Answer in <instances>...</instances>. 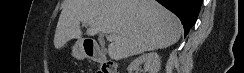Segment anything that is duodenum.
Returning a JSON list of instances; mask_svg holds the SVG:
<instances>
[{
	"instance_id": "obj_1",
	"label": "duodenum",
	"mask_w": 244,
	"mask_h": 73,
	"mask_svg": "<svg viewBox=\"0 0 244 73\" xmlns=\"http://www.w3.org/2000/svg\"><path fill=\"white\" fill-rule=\"evenodd\" d=\"M84 51L88 59L99 63V73H115L114 65L108 60L104 49L98 43L85 42Z\"/></svg>"
}]
</instances>
